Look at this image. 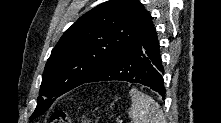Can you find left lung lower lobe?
Returning <instances> with one entry per match:
<instances>
[{"label": "left lung lower lobe", "instance_id": "obj_1", "mask_svg": "<svg viewBox=\"0 0 221 123\" xmlns=\"http://www.w3.org/2000/svg\"><path fill=\"white\" fill-rule=\"evenodd\" d=\"M164 69L152 24L131 46L105 64L85 83L122 80L140 83L165 96Z\"/></svg>", "mask_w": 221, "mask_h": 123}]
</instances>
